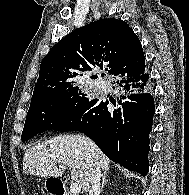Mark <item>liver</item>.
Here are the masks:
<instances>
[{
	"label": "liver",
	"instance_id": "6515ba94",
	"mask_svg": "<svg viewBox=\"0 0 189 195\" xmlns=\"http://www.w3.org/2000/svg\"><path fill=\"white\" fill-rule=\"evenodd\" d=\"M72 168L71 178L84 193L89 190L92 171L109 169V158L87 137L82 135H60L37 143L25 151L23 172L29 175L58 178L63 170L55 165Z\"/></svg>",
	"mask_w": 189,
	"mask_h": 195
}]
</instances>
